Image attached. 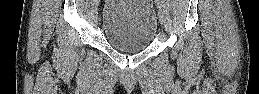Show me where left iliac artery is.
Instances as JSON below:
<instances>
[{
    "mask_svg": "<svg viewBox=\"0 0 259 94\" xmlns=\"http://www.w3.org/2000/svg\"><path fill=\"white\" fill-rule=\"evenodd\" d=\"M155 3H156V5H157L158 8H161V7H162L160 0H155Z\"/></svg>",
    "mask_w": 259,
    "mask_h": 94,
    "instance_id": "44dca946",
    "label": "left iliac artery"
}]
</instances>
